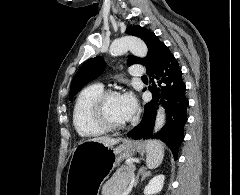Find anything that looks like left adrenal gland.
<instances>
[{"instance_id": "obj_1", "label": "left adrenal gland", "mask_w": 240, "mask_h": 195, "mask_svg": "<svg viewBox=\"0 0 240 195\" xmlns=\"http://www.w3.org/2000/svg\"><path fill=\"white\" fill-rule=\"evenodd\" d=\"M140 175H141V179H140ZM147 175H152L151 171H147V167H144V165H141V167H139V169L137 171V175L135 177L134 187H136V185H137V183H139V181H143V179H145V177H147Z\"/></svg>"}]
</instances>
